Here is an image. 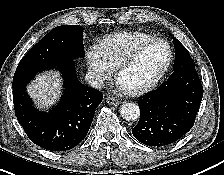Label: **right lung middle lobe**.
Instances as JSON below:
<instances>
[{
	"label": "right lung middle lobe",
	"mask_w": 224,
	"mask_h": 175,
	"mask_svg": "<svg viewBox=\"0 0 224 175\" xmlns=\"http://www.w3.org/2000/svg\"><path fill=\"white\" fill-rule=\"evenodd\" d=\"M83 27L63 25L52 29L19 62V67H56L84 56Z\"/></svg>",
	"instance_id": "obj_1"
}]
</instances>
